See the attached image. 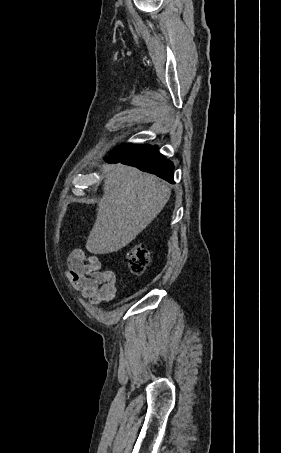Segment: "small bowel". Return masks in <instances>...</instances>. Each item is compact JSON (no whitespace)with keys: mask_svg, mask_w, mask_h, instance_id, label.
I'll use <instances>...</instances> for the list:
<instances>
[{"mask_svg":"<svg viewBox=\"0 0 281 453\" xmlns=\"http://www.w3.org/2000/svg\"><path fill=\"white\" fill-rule=\"evenodd\" d=\"M66 265L72 283L94 304L115 297L118 291L116 274L110 269L102 270L98 256L74 251L67 257Z\"/></svg>","mask_w":281,"mask_h":453,"instance_id":"1","label":"small bowel"}]
</instances>
